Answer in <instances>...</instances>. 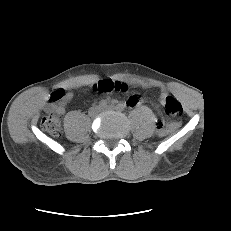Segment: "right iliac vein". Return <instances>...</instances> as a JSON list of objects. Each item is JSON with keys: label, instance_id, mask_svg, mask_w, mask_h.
<instances>
[{"label": "right iliac vein", "instance_id": "63e3f726", "mask_svg": "<svg viewBox=\"0 0 231 231\" xmlns=\"http://www.w3.org/2000/svg\"><path fill=\"white\" fill-rule=\"evenodd\" d=\"M100 112V108L99 107H94L92 110H91V114L92 115H96Z\"/></svg>", "mask_w": 231, "mask_h": 231}]
</instances>
